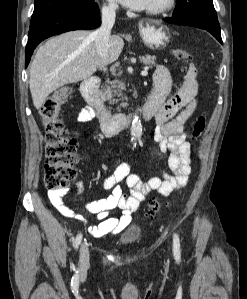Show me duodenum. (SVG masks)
<instances>
[{"mask_svg": "<svg viewBox=\"0 0 247 299\" xmlns=\"http://www.w3.org/2000/svg\"><path fill=\"white\" fill-rule=\"evenodd\" d=\"M99 84V78H88L82 82L80 92L86 103L95 111L101 130L106 136L118 133L129 126L136 117L148 121L156 115V106L149 100L135 113H111L99 96Z\"/></svg>", "mask_w": 247, "mask_h": 299, "instance_id": "1", "label": "duodenum"}]
</instances>
